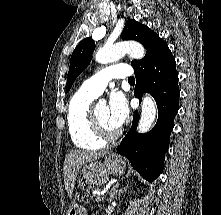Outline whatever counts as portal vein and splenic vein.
<instances>
[{
	"label": "portal vein and splenic vein",
	"instance_id": "1",
	"mask_svg": "<svg viewBox=\"0 0 221 215\" xmlns=\"http://www.w3.org/2000/svg\"><path fill=\"white\" fill-rule=\"evenodd\" d=\"M101 199H103L102 196H97V198H96V200H101Z\"/></svg>",
	"mask_w": 221,
	"mask_h": 215
}]
</instances>
